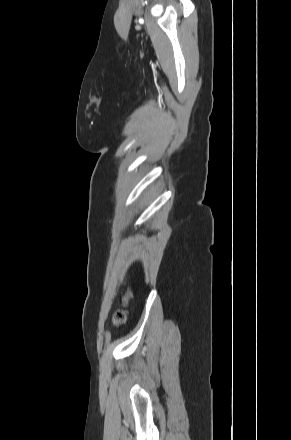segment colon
I'll return each instance as SVG.
<instances>
[{"label":"colon","mask_w":291,"mask_h":440,"mask_svg":"<svg viewBox=\"0 0 291 440\" xmlns=\"http://www.w3.org/2000/svg\"><path fill=\"white\" fill-rule=\"evenodd\" d=\"M127 301H129V297L124 300V302H127ZM127 313H128V310L126 308H124L122 310H118L113 317L114 325H116V326L123 325L126 321Z\"/></svg>","instance_id":"5ec220e1"}]
</instances>
